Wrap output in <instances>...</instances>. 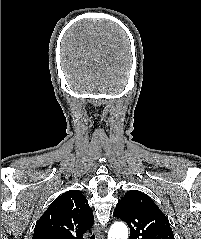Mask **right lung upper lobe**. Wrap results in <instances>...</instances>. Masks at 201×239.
<instances>
[{
    "instance_id": "1",
    "label": "right lung upper lobe",
    "mask_w": 201,
    "mask_h": 239,
    "mask_svg": "<svg viewBox=\"0 0 201 239\" xmlns=\"http://www.w3.org/2000/svg\"><path fill=\"white\" fill-rule=\"evenodd\" d=\"M94 223L88 200L78 190L55 199L37 221L32 239H83Z\"/></svg>"
}]
</instances>
